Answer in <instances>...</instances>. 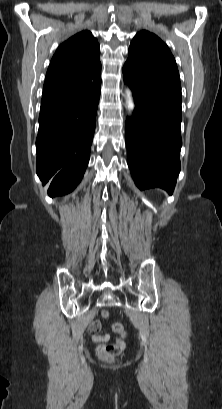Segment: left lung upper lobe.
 I'll return each instance as SVG.
<instances>
[{
  "mask_svg": "<svg viewBox=\"0 0 222 409\" xmlns=\"http://www.w3.org/2000/svg\"><path fill=\"white\" fill-rule=\"evenodd\" d=\"M124 76L157 88L181 100V84L175 59L168 46L155 34L140 31L129 47Z\"/></svg>",
  "mask_w": 222,
  "mask_h": 409,
  "instance_id": "obj_1",
  "label": "left lung upper lobe"
}]
</instances>
